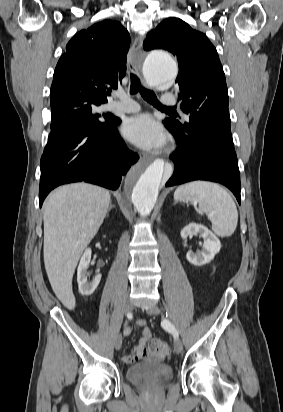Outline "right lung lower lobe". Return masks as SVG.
Wrapping results in <instances>:
<instances>
[{
	"label": "right lung lower lobe",
	"instance_id": "1",
	"mask_svg": "<svg viewBox=\"0 0 283 412\" xmlns=\"http://www.w3.org/2000/svg\"><path fill=\"white\" fill-rule=\"evenodd\" d=\"M120 119L106 128L81 125L73 131L53 132L41 157L40 207L55 187L85 181L117 189L121 176L139 159L127 149L117 131Z\"/></svg>",
	"mask_w": 283,
	"mask_h": 412
}]
</instances>
